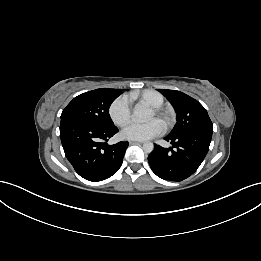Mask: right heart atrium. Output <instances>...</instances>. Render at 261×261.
<instances>
[{
    "label": "right heart atrium",
    "mask_w": 261,
    "mask_h": 261,
    "mask_svg": "<svg viewBox=\"0 0 261 261\" xmlns=\"http://www.w3.org/2000/svg\"><path fill=\"white\" fill-rule=\"evenodd\" d=\"M109 116L117 126H125L131 118V105L125 95L117 97L109 107Z\"/></svg>",
    "instance_id": "1"
}]
</instances>
